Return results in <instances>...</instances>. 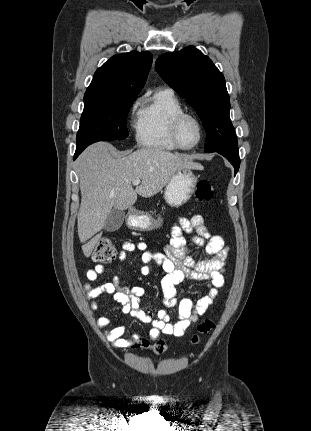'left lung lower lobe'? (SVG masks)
I'll return each instance as SVG.
<instances>
[{"instance_id": "left-lung-lower-lobe-1", "label": "left lung lower lobe", "mask_w": 311, "mask_h": 431, "mask_svg": "<svg viewBox=\"0 0 311 431\" xmlns=\"http://www.w3.org/2000/svg\"><path fill=\"white\" fill-rule=\"evenodd\" d=\"M217 153L224 156L233 166L235 170V174L237 173L240 166V158L238 150H220L216 151Z\"/></svg>"}]
</instances>
